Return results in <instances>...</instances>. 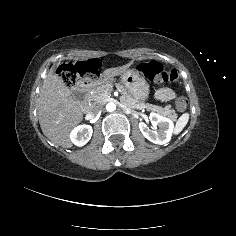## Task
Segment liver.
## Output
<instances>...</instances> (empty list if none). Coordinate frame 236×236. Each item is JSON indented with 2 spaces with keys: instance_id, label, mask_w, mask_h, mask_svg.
<instances>
[{
  "instance_id": "1",
  "label": "liver",
  "mask_w": 236,
  "mask_h": 236,
  "mask_svg": "<svg viewBox=\"0 0 236 236\" xmlns=\"http://www.w3.org/2000/svg\"><path fill=\"white\" fill-rule=\"evenodd\" d=\"M129 63L104 70L103 77H115L127 70ZM39 123L43 134L55 144L71 148L70 132L83 119L80 103L71 96L70 89L62 82L51 67L37 101Z\"/></svg>"
}]
</instances>
